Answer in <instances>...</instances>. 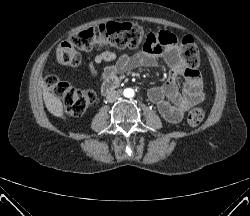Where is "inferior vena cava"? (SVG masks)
Segmentation results:
<instances>
[{
    "mask_svg": "<svg viewBox=\"0 0 250 216\" xmlns=\"http://www.w3.org/2000/svg\"><path fill=\"white\" fill-rule=\"evenodd\" d=\"M119 97H120V93L118 91L110 90L107 93L106 99H107L108 102H115V101H117L119 99Z\"/></svg>",
    "mask_w": 250,
    "mask_h": 216,
    "instance_id": "obj_1",
    "label": "inferior vena cava"
}]
</instances>
